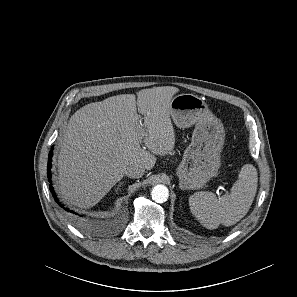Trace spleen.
Segmentation results:
<instances>
[{
  "label": "spleen",
  "instance_id": "1",
  "mask_svg": "<svg viewBox=\"0 0 297 297\" xmlns=\"http://www.w3.org/2000/svg\"><path fill=\"white\" fill-rule=\"evenodd\" d=\"M258 175L252 164H245L230 194L217 198L212 192H198L189 198L192 215L208 229L220 224L231 226L249 211L257 191Z\"/></svg>",
  "mask_w": 297,
  "mask_h": 297
}]
</instances>
